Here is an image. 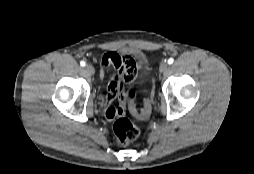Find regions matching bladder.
Instances as JSON below:
<instances>
[{
  "mask_svg": "<svg viewBox=\"0 0 254 174\" xmlns=\"http://www.w3.org/2000/svg\"><path fill=\"white\" fill-rule=\"evenodd\" d=\"M147 78V69L146 67L144 66L143 67V72H142V75H141V82H144Z\"/></svg>",
  "mask_w": 254,
  "mask_h": 174,
  "instance_id": "obj_1",
  "label": "bladder"
}]
</instances>
